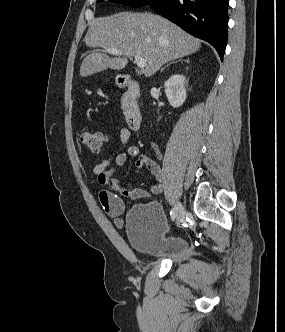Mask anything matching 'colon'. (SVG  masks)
<instances>
[{
  "mask_svg": "<svg viewBox=\"0 0 285 332\" xmlns=\"http://www.w3.org/2000/svg\"><path fill=\"white\" fill-rule=\"evenodd\" d=\"M105 135L100 131L86 130L80 133L81 143L93 152H99L105 144Z\"/></svg>",
  "mask_w": 285,
  "mask_h": 332,
  "instance_id": "1",
  "label": "colon"
}]
</instances>
